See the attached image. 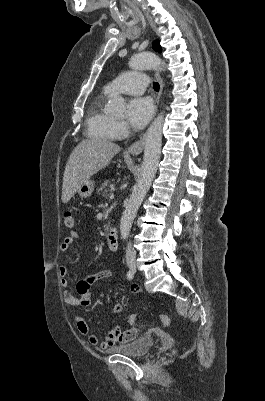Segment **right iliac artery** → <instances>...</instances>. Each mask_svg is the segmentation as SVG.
Returning a JSON list of instances; mask_svg holds the SVG:
<instances>
[{
	"label": "right iliac artery",
	"mask_w": 265,
	"mask_h": 401,
	"mask_svg": "<svg viewBox=\"0 0 265 401\" xmlns=\"http://www.w3.org/2000/svg\"><path fill=\"white\" fill-rule=\"evenodd\" d=\"M133 277H134V272H133L132 270H129V271L127 272V279H128V280H132Z\"/></svg>",
	"instance_id": "obj_1"
}]
</instances>
